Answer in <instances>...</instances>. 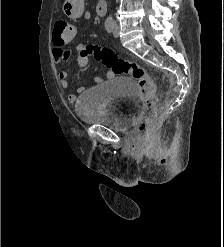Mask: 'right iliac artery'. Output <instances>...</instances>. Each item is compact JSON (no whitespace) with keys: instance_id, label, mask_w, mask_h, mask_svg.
I'll list each match as a JSON object with an SVG mask.
<instances>
[{"instance_id":"right-iliac-artery-1","label":"right iliac artery","mask_w":224,"mask_h":247,"mask_svg":"<svg viewBox=\"0 0 224 247\" xmlns=\"http://www.w3.org/2000/svg\"><path fill=\"white\" fill-rule=\"evenodd\" d=\"M105 29L108 33H112L113 29H114V21L111 18H108L105 21Z\"/></svg>"}]
</instances>
